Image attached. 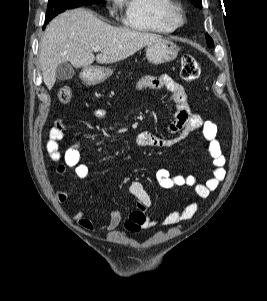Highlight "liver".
Here are the masks:
<instances>
[{"label":"liver","instance_id":"6515ba94","mask_svg":"<svg viewBox=\"0 0 267 301\" xmlns=\"http://www.w3.org/2000/svg\"><path fill=\"white\" fill-rule=\"evenodd\" d=\"M160 39L157 34L113 27L84 8L66 11L48 24L40 42L44 84L49 90L53 87L61 63L69 62L75 68L85 69L95 60L99 64H111ZM97 46L101 47V53L95 57Z\"/></svg>","mask_w":267,"mask_h":301}]
</instances>
